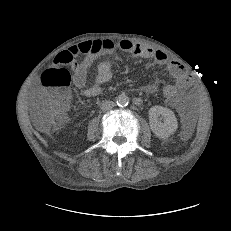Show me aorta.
I'll return each instance as SVG.
<instances>
[{
    "label": "aorta",
    "instance_id": "obj_1",
    "mask_svg": "<svg viewBox=\"0 0 231 231\" xmlns=\"http://www.w3.org/2000/svg\"><path fill=\"white\" fill-rule=\"evenodd\" d=\"M116 103L118 106H127L129 103V97L126 94L122 93L117 97Z\"/></svg>",
    "mask_w": 231,
    "mask_h": 231
}]
</instances>
